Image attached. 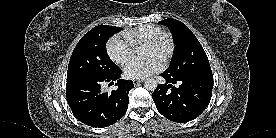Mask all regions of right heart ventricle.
I'll list each match as a JSON object with an SVG mask.
<instances>
[{"label": "right heart ventricle", "instance_id": "obj_1", "mask_svg": "<svg viewBox=\"0 0 276 138\" xmlns=\"http://www.w3.org/2000/svg\"><path fill=\"white\" fill-rule=\"evenodd\" d=\"M164 30L155 25H143L123 33L124 38L135 47L146 44Z\"/></svg>", "mask_w": 276, "mask_h": 138}]
</instances>
